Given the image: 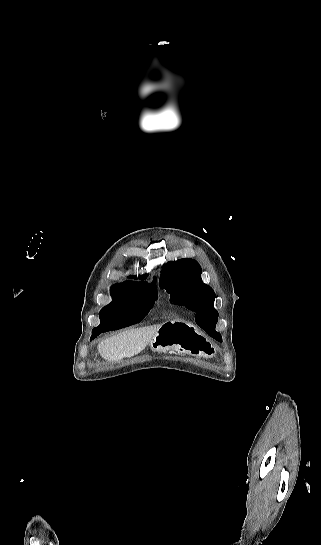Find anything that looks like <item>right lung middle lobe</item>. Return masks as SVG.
<instances>
[{"label":"right lung middle lobe","mask_w":321,"mask_h":545,"mask_svg":"<svg viewBox=\"0 0 321 545\" xmlns=\"http://www.w3.org/2000/svg\"><path fill=\"white\" fill-rule=\"evenodd\" d=\"M111 295L114 301L110 305H130L133 308V315L122 319H111L100 315V328H110L122 324L130 326L143 320L157 298V289L129 290L111 288Z\"/></svg>","instance_id":"dd1d6c3e"}]
</instances>
